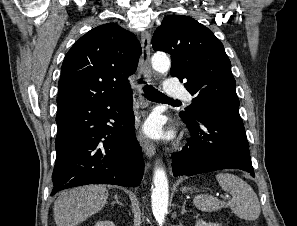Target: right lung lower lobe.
Returning <instances> with one entry per match:
<instances>
[{"label": "right lung lower lobe", "instance_id": "right-lung-lower-lobe-1", "mask_svg": "<svg viewBox=\"0 0 297 226\" xmlns=\"http://www.w3.org/2000/svg\"><path fill=\"white\" fill-rule=\"evenodd\" d=\"M132 92L58 107L51 195L86 184L139 185L144 161L134 132ZM110 120L114 123L107 124Z\"/></svg>", "mask_w": 297, "mask_h": 226}]
</instances>
